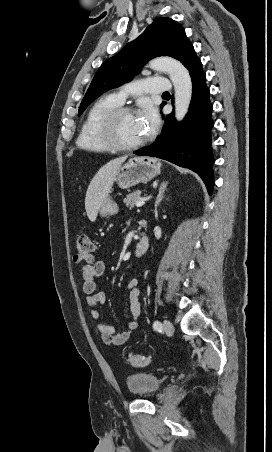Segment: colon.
<instances>
[{"mask_svg":"<svg viewBox=\"0 0 272 452\" xmlns=\"http://www.w3.org/2000/svg\"><path fill=\"white\" fill-rule=\"evenodd\" d=\"M94 251L95 246L90 235L84 231H80L76 238V252L74 256L76 262H92ZM128 363L132 366L142 368L148 366L151 363V359L139 354H130Z\"/></svg>","mask_w":272,"mask_h":452,"instance_id":"obj_1","label":"colon"}]
</instances>
